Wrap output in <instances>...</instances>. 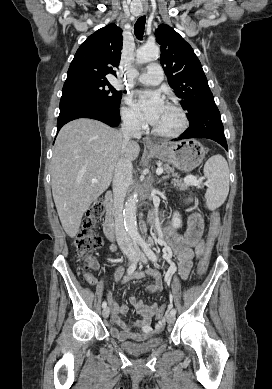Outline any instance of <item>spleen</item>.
Masks as SVG:
<instances>
[{
    "instance_id": "3e777b00",
    "label": "spleen",
    "mask_w": 272,
    "mask_h": 389,
    "mask_svg": "<svg viewBox=\"0 0 272 389\" xmlns=\"http://www.w3.org/2000/svg\"><path fill=\"white\" fill-rule=\"evenodd\" d=\"M204 175L208 179L205 194L208 209L215 210L226 200L229 193V168L222 155H214L204 165Z\"/></svg>"
}]
</instances>
